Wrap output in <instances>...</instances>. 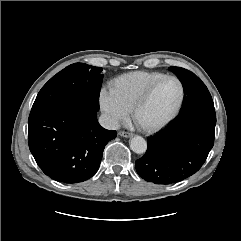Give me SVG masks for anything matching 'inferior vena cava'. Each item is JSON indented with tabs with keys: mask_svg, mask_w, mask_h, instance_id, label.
I'll list each match as a JSON object with an SVG mask.
<instances>
[{
	"mask_svg": "<svg viewBox=\"0 0 241 241\" xmlns=\"http://www.w3.org/2000/svg\"><path fill=\"white\" fill-rule=\"evenodd\" d=\"M99 123L102 127L109 130H118L120 128L118 120L108 114H101Z\"/></svg>",
	"mask_w": 241,
	"mask_h": 241,
	"instance_id": "602c4592",
	"label": "inferior vena cava"
}]
</instances>
